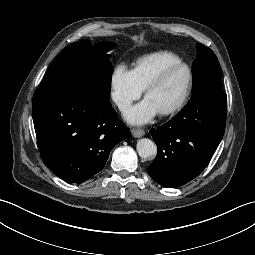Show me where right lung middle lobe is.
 <instances>
[{
  "label": "right lung middle lobe",
  "instance_id": "1",
  "mask_svg": "<svg viewBox=\"0 0 255 255\" xmlns=\"http://www.w3.org/2000/svg\"><path fill=\"white\" fill-rule=\"evenodd\" d=\"M114 43L89 40L70 44L60 53L44 75L39 88L69 87L109 100L113 68L106 52Z\"/></svg>",
  "mask_w": 255,
  "mask_h": 255
}]
</instances>
